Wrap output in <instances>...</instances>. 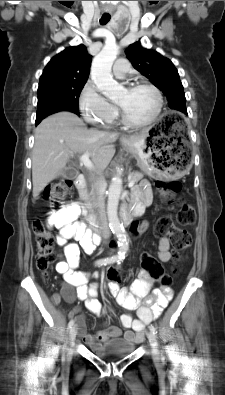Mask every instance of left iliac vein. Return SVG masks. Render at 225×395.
I'll return each instance as SVG.
<instances>
[{
  "instance_id": "1",
  "label": "left iliac vein",
  "mask_w": 225,
  "mask_h": 395,
  "mask_svg": "<svg viewBox=\"0 0 225 395\" xmlns=\"http://www.w3.org/2000/svg\"><path fill=\"white\" fill-rule=\"evenodd\" d=\"M148 340L150 342V345L153 348V352H154V358L158 359V349H157V340H156V336L153 332L149 331L147 334Z\"/></svg>"
}]
</instances>
